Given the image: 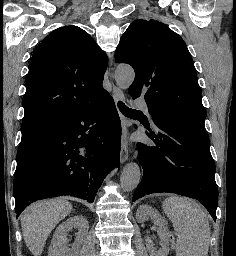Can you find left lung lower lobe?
<instances>
[{
    "label": "left lung lower lobe",
    "instance_id": "left-lung-lower-lobe-1",
    "mask_svg": "<svg viewBox=\"0 0 236 256\" xmlns=\"http://www.w3.org/2000/svg\"><path fill=\"white\" fill-rule=\"evenodd\" d=\"M154 131L144 125L155 145L138 143L143 177L132 201L157 192H170L200 201L216 220L218 189L209 136L163 116H152Z\"/></svg>",
    "mask_w": 236,
    "mask_h": 256
}]
</instances>
